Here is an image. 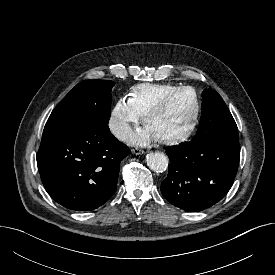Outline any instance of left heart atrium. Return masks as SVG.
I'll return each mask as SVG.
<instances>
[{
    "instance_id": "1",
    "label": "left heart atrium",
    "mask_w": 275,
    "mask_h": 275,
    "mask_svg": "<svg viewBox=\"0 0 275 275\" xmlns=\"http://www.w3.org/2000/svg\"><path fill=\"white\" fill-rule=\"evenodd\" d=\"M157 138L151 129L147 126L144 129L138 130L131 136V142L136 145H146Z\"/></svg>"
}]
</instances>
